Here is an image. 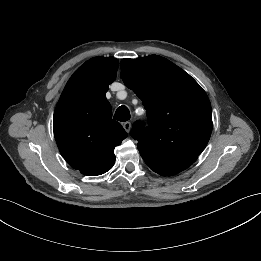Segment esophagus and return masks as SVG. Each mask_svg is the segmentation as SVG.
I'll list each match as a JSON object with an SVG mask.
<instances>
[{
  "label": "esophagus",
  "instance_id": "esophagus-1",
  "mask_svg": "<svg viewBox=\"0 0 261 261\" xmlns=\"http://www.w3.org/2000/svg\"><path fill=\"white\" fill-rule=\"evenodd\" d=\"M123 128L125 129V131L127 132V133H129L130 132V130H131V123L130 122H124L123 123Z\"/></svg>",
  "mask_w": 261,
  "mask_h": 261
}]
</instances>
